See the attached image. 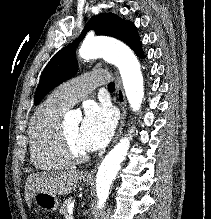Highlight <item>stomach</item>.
<instances>
[{
  "label": "stomach",
  "instance_id": "0dacf381",
  "mask_svg": "<svg viewBox=\"0 0 211 219\" xmlns=\"http://www.w3.org/2000/svg\"><path fill=\"white\" fill-rule=\"evenodd\" d=\"M83 180L85 183H89L87 178ZM32 201L38 208L47 212H55L60 206L57 196L46 192L35 193Z\"/></svg>",
  "mask_w": 211,
  "mask_h": 219
}]
</instances>
